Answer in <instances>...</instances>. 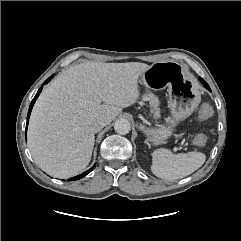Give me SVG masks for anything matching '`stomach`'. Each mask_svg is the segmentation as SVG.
Returning <instances> with one entry per match:
<instances>
[{"label":"stomach","mask_w":241,"mask_h":241,"mask_svg":"<svg viewBox=\"0 0 241 241\" xmlns=\"http://www.w3.org/2000/svg\"><path fill=\"white\" fill-rule=\"evenodd\" d=\"M144 85L152 90L167 88L171 116L166 125L147 127L140 124V130L147 136V142L153 145L162 144L173 133L176 124L191 115L201 101V96L194 80L185 67L175 61L153 63L141 76Z\"/></svg>","instance_id":"obj_1"}]
</instances>
